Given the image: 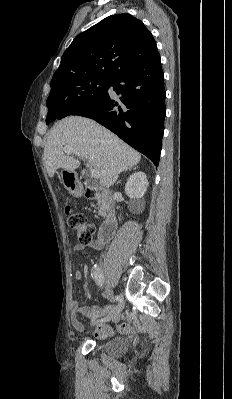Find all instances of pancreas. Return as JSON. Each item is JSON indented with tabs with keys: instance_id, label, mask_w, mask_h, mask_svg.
I'll list each match as a JSON object with an SVG mask.
<instances>
[{
	"instance_id": "obj_1",
	"label": "pancreas",
	"mask_w": 232,
	"mask_h": 399,
	"mask_svg": "<svg viewBox=\"0 0 232 399\" xmlns=\"http://www.w3.org/2000/svg\"><path fill=\"white\" fill-rule=\"evenodd\" d=\"M98 205H99V207H98L99 215H105V213H106L105 205H102V201L101 200L98 201Z\"/></svg>"
}]
</instances>
